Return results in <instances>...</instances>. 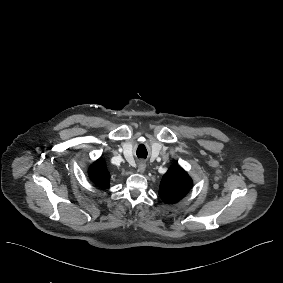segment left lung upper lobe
<instances>
[{
    "label": "left lung upper lobe",
    "mask_w": 283,
    "mask_h": 283,
    "mask_svg": "<svg viewBox=\"0 0 283 283\" xmlns=\"http://www.w3.org/2000/svg\"><path fill=\"white\" fill-rule=\"evenodd\" d=\"M192 179L178 165L171 166L164 174L159 195L165 203H175L182 199L191 189Z\"/></svg>",
    "instance_id": "1"
}]
</instances>
